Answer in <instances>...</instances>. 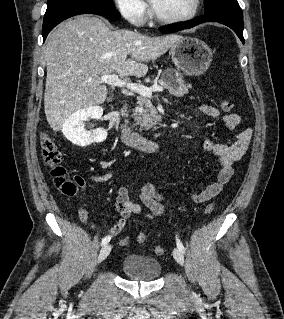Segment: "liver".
Instances as JSON below:
<instances>
[{
	"label": "liver",
	"instance_id": "6515ba94",
	"mask_svg": "<svg viewBox=\"0 0 284 319\" xmlns=\"http://www.w3.org/2000/svg\"><path fill=\"white\" fill-rule=\"evenodd\" d=\"M182 36L150 37L129 30L112 31L100 18L81 15L61 23L44 48L47 66L44 110L54 131L79 109L102 104L108 94L100 77L118 73L143 77L145 64L170 49ZM130 55L131 58L127 59Z\"/></svg>",
	"mask_w": 284,
	"mask_h": 319
}]
</instances>
